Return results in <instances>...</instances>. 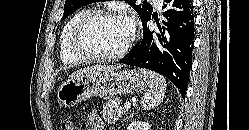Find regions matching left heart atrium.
Here are the masks:
<instances>
[{"label":"left heart atrium","instance_id":"left-heart-atrium-1","mask_svg":"<svg viewBox=\"0 0 249 130\" xmlns=\"http://www.w3.org/2000/svg\"><path fill=\"white\" fill-rule=\"evenodd\" d=\"M126 19L128 20V22L130 23L131 27H133V22L130 18L126 17Z\"/></svg>","mask_w":249,"mask_h":130}]
</instances>
